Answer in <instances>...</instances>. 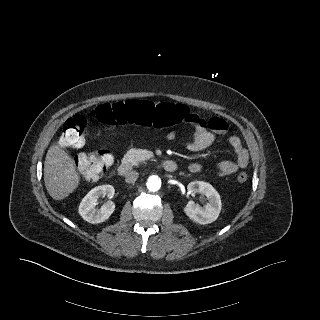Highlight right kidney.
<instances>
[{"instance_id": "obj_1", "label": "right kidney", "mask_w": 320, "mask_h": 320, "mask_svg": "<svg viewBox=\"0 0 320 320\" xmlns=\"http://www.w3.org/2000/svg\"><path fill=\"white\" fill-rule=\"evenodd\" d=\"M115 189L111 185H102L93 188L81 201L78 212L80 216L87 222L98 224L106 221L115 210V204L107 201L101 208H97L98 198L101 196H114Z\"/></svg>"}]
</instances>
